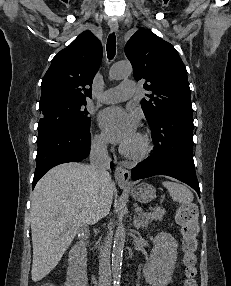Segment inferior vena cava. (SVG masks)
<instances>
[{"mask_svg":"<svg viewBox=\"0 0 231 286\" xmlns=\"http://www.w3.org/2000/svg\"><path fill=\"white\" fill-rule=\"evenodd\" d=\"M90 164L93 175L98 180L100 189V199L94 211V217L101 218L109 213V209L104 205L102 185L108 181L110 174V158L107 152V142L102 139L94 140L91 144ZM111 285V269H110V241L104 239L100 246L99 255V286Z\"/></svg>","mask_w":231,"mask_h":286,"instance_id":"602c4592","label":"inferior vena cava"}]
</instances>
